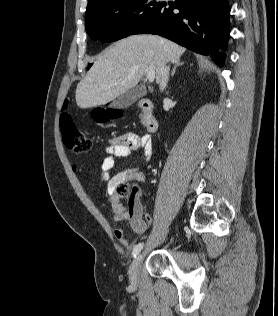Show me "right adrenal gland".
I'll use <instances>...</instances> for the list:
<instances>
[{
    "label": "right adrenal gland",
    "mask_w": 278,
    "mask_h": 316,
    "mask_svg": "<svg viewBox=\"0 0 278 316\" xmlns=\"http://www.w3.org/2000/svg\"><path fill=\"white\" fill-rule=\"evenodd\" d=\"M184 64V62H181L180 59H178L176 62H175V65L173 67V70H172V73H171V76L173 77L175 75V72H176V69L178 66H182Z\"/></svg>",
    "instance_id": "right-adrenal-gland-1"
}]
</instances>
